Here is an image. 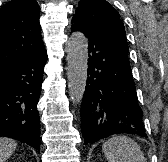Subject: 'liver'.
Masks as SVG:
<instances>
[{
    "instance_id": "liver-1",
    "label": "liver",
    "mask_w": 168,
    "mask_h": 162,
    "mask_svg": "<svg viewBox=\"0 0 168 162\" xmlns=\"http://www.w3.org/2000/svg\"><path fill=\"white\" fill-rule=\"evenodd\" d=\"M17 143L15 140L0 137V162H5L15 151Z\"/></svg>"
}]
</instances>
